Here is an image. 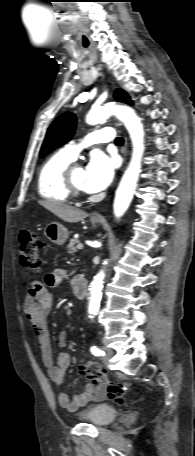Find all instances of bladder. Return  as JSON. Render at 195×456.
Wrapping results in <instances>:
<instances>
[{
	"instance_id": "31cf9c89",
	"label": "bladder",
	"mask_w": 195,
	"mask_h": 456,
	"mask_svg": "<svg viewBox=\"0 0 195 456\" xmlns=\"http://www.w3.org/2000/svg\"><path fill=\"white\" fill-rule=\"evenodd\" d=\"M116 409L112 406L101 403L93 405L78 414V417L96 427L109 425L116 418Z\"/></svg>"
}]
</instances>
